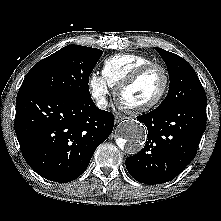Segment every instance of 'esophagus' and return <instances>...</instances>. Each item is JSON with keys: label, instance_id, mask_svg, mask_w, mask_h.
<instances>
[{"label": "esophagus", "instance_id": "34e87169", "mask_svg": "<svg viewBox=\"0 0 221 221\" xmlns=\"http://www.w3.org/2000/svg\"><path fill=\"white\" fill-rule=\"evenodd\" d=\"M126 117L125 116H121V115H115L114 117V122L115 124L121 122L122 120H124Z\"/></svg>", "mask_w": 221, "mask_h": 221}]
</instances>
